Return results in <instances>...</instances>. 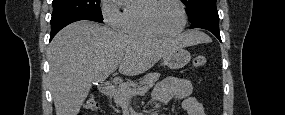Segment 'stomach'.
Here are the masks:
<instances>
[{
	"instance_id": "stomach-1",
	"label": "stomach",
	"mask_w": 285,
	"mask_h": 115,
	"mask_svg": "<svg viewBox=\"0 0 285 115\" xmlns=\"http://www.w3.org/2000/svg\"><path fill=\"white\" fill-rule=\"evenodd\" d=\"M190 53L183 48H176L163 57L164 65L170 69H180L189 63Z\"/></svg>"
}]
</instances>
